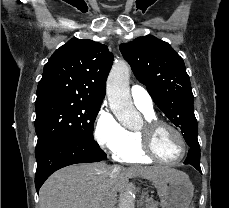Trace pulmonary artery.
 I'll list each match as a JSON object with an SVG mask.
<instances>
[{
    "mask_svg": "<svg viewBox=\"0 0 229 208\" xmlns=\"http://www.w3.org/2000/svg\"><path fill=\"white\" fill-rule=\"evenodd\" d=\"M130 94L134 102V105L139 110L149 114L154 113L153 100L144 87L134 85L130 90Z\"/></svg>",
    "mask_w": 229,
    "mask_h": 208,
    "instance_id": "pulmonary-artery-1",
    "label": "pulmonary artery"
}]
</instances>
